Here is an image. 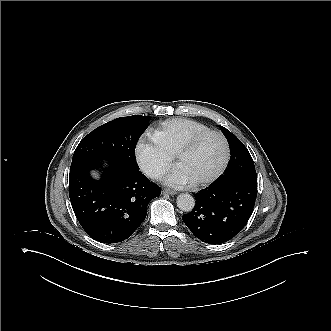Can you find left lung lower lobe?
Instances as JSON below:
<instances>
[{
    "instance_id": "1",
    "label": "left lung lower lobe",
    "mask_w": 331,
    "mask_h": 331,
    "mask_svg": "<svg viewBox=\"0 0 331 331\" xmlns=\"http://www.w3.org/2000/svg\"><path fill=\"white\" fill-rule=\"evenodd\" d=\"M196 206L183 215L195 237L209 244L234 238L246 225L255 205L257 180L234 177L200 191Z\"/></svg>"
}]
</instances>
